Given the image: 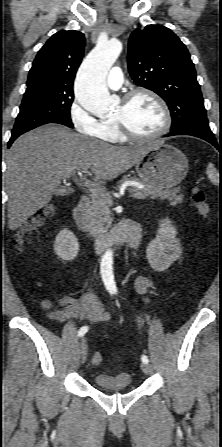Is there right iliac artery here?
Returning <instances> with one entry per match:
<instances>
[{
	"label": "right iliac artery",
	"instance_id": "1",
	"mask_svg": "<svg viewBox=\"0 0 222 447\" xmlns=\"http://www.w3.org/2000/svg\"><path fill=\"white\" fill-rule=\"evenodd\" d=\"M88 331V326H83L78 331V336L82 337Z\"/></svg>",
	"mask_w": 222,
	"mask_h": 447
}]
</instances>
